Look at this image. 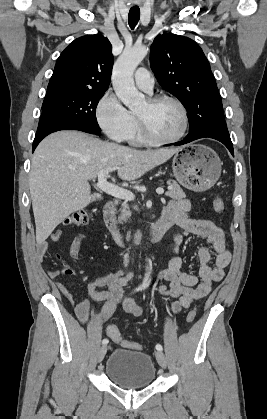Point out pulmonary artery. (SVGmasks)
<instances>
[{"instance_id":"e3ab8cb5","label":"pulmonary artery","mask_w":267,"mask_h":419,"mask_svg":"<svg viewBox=\"0 0 267 419\" xmlns=\"http://www.w3.org/2000/svg\"><path fill=\"white\" fill-rule=\"evenodd\" d=\"M137 87L147 93H151L154 86V78L145 68H139L134 75Z\"/></svg>"}]
</instances>
